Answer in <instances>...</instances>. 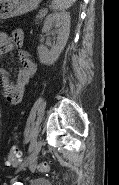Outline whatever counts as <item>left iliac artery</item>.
I'll return each instance as SVG.
<instances>
[{
	"instance_id": "left-iliac-artery-1",
	"label": "left iliac artery",
	"mask_w": 119,
	"mask_h": 185,
	"mask_svg": "<svg viewBox=\"0 0 119 185\" xmlns=\"http://www.w3.org/2000/svg\"><path fill=\"white\" fill-rule=\"evenodd\" d=\"M34 144H35V141H33V142L30 144V147H29V150H28V151H31V150H32Z\"/></svg>"
}]
</instances>
